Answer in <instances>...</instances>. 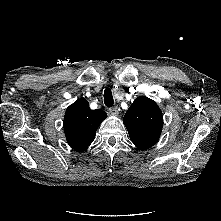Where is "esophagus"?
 Returning a JSON list of instances; mask_svg holds the SVG:
<instances>
[{"instance_id":"esophagus-1","label":"esophagus","mask_w":221,"mask_h":221,"mask_svg":"<svg viewBox=\"0 0 221 221\" xmlns=\"http://www.w3.org/2000/svg\"><path fill=\"white\" fill-rule=\"evenodd\" d=\"M109 112H110L111 115L116 116V115H118L119 110H118L117 107H112V108L109 109Z\"/></svg>"}]
</instances>
